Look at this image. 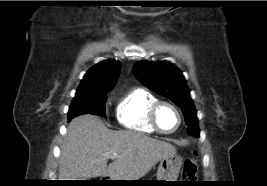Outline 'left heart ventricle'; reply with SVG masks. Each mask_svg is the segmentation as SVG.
I'll return each mask as SVG.
<instances>
[{
	"label": "left heart ventricle",
	"instance_id": "left-heart-ventricle-1",
	"mask_svg": "<svg viewBox=\"0 0 267 186\" xmlns=\"http://www.w3.org/2000/svg\"><path fill=\"white\" fill-rule=\"evenodd\" d=\"M157 120L161 129L171 131L178 123V116L173 108L163 105L158 111Z\"/></svg>",
	"mask_w": 267,
	"mask_h": 186
}]
</instances>
